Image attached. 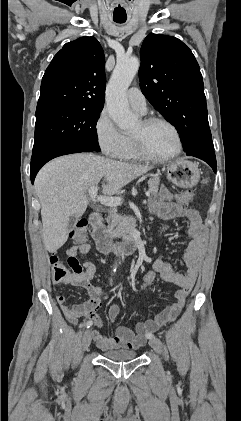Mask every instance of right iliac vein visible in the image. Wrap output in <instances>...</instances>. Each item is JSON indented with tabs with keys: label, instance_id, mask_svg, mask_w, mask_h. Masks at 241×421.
<instances>
[{
	"label": "right iliac vein",
	"instance_id": "right-iliac-vein-1",
	"mask_svg": "<svg viewBox=\"0 0 241 421\" xmlns=\"http://www.w3.org/2000/svg\"><path fill=\"white\" fill-rule=\"evenodd\" d=\"M92 340V333L90 330H86L82 337V349L84 351L88 350Z\"/></svg>",
	"mask_w": 241,
	"mask_h": 421
}]
</instances>
